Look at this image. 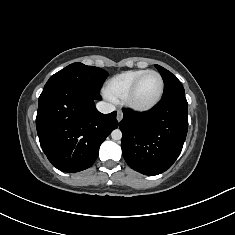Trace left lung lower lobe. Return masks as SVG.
<instances>
[{
  "label": "left lung lower lobe",
  "instance_id": "1",
  "mask_svg": "<svg viewBox=\"0 0 235 235\" xmlns=\"http://www.w3.org/2000/svg\"><path fill=\"white\" fill-rule=\"evenodd\" d=\"M185 95L162 100L148 112L123 109L119 126L127 164L144 175L169 169L181 153L188 130Z\"/></svg>",
  "mask_w": 235,
  "mask_h": 235
}]
</instances>
